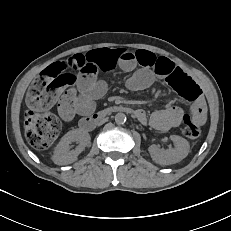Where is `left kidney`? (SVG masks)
<instances>
[{"label":"left kidney","mask_w":231,"mask_h":231,"mask_svg":"<svg viewBox=\"0 0 231 231\" xmlns=\"http://www.w3.org/2000/svg\"><path fill=\"white\" fill-rule=\"evenodd\" d=\"M170 139L174 142L175 147L165 151L160 150L156 145H151L148 151L154 162L160 165H170L180 162L184 159L190 149L188 141L180 136L171 135Z\"/></svg>","instance_id":"5707ae66"}]
</instances>
